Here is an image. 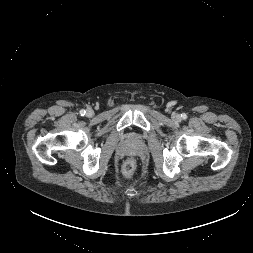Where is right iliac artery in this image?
I'll return each mask as SVG.
<instances>
[{
  "label": "right iliac artery",
  "mask_w": 253,
  "mask_h": 253,
  "mask_svg": "<svg viewBox=\"0 0 253 253\" xmlns=\"http://www.w3.org/2000/svg\"><path fill=\"white\" fill-rule=\"evenodd\" d=\"M85 113H86L85 110H81V111H80V114H81L82 116L85 115Z\"/></svg>",
  "instance_id": "1"
}]
</instances>
